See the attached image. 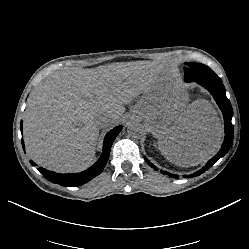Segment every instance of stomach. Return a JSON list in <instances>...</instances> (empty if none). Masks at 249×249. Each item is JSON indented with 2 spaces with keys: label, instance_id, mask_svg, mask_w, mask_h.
Here are the masks:
<instances>
[{
  "label": "stomach",
  "instance_id": "obj_1",
  "mask_svg": "<svg viewBox=\"0 0 249 249\" xmlns=\"http://www.w3.org/2000/svg\"><path fill=\"white\" fill-rule=\"evenodd\" d=\"M186 98L178 75L171 70L160 72L151 90L140 100L142 121L153 130L168 128L184 110Z\"/></svg>",
  "mask_w": 249,
  "mask_h": 249
}]
</instances>
